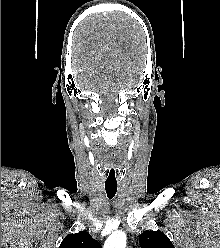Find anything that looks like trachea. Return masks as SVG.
<instances>
[{
  "instance_id": "1",
  "label": "trachea",
  "mask_w": 220,
  "mask_h": 248,
  "mask_svg": "<svg viewBox=\"0 0 220 248\" xmlns=\"http://www.w3.org/2000/svg\"><path fill=\"white\" fill-rule=\"evenodd\" d=\"M105 190L108 198L112 199L117 192V183H105Z\"/></svg>"
}]
</instances>
